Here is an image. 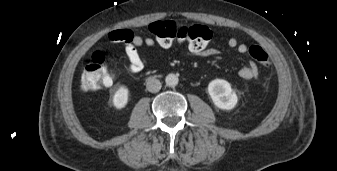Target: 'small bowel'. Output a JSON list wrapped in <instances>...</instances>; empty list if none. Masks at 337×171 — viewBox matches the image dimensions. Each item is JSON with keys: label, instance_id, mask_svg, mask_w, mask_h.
<instances>
[{"label": "small bowel", "instance_id": "1", "mask_svg": "<svg viewBox=\"0 0 337 171\" xmlns=\"http://www.w3.org/2000/svg\"><path fill=\"white\" fill-rule=\"evenodd\" d=\"M110 39L125 43V54L129 60L127 72L130 74L141 72L146 65L147 61L141 51L142 48L144 46L154 48L159 45L158 42L151 37L143 38L128 30L115 31L111 33ZM227 43L230 47L236 48L239 53H245L247 51V46L245 44H239L234 37L229 38ZM189 52L192 55L203 58L214 57L220 54V51L214 48L203 49L201 52H192L189 49ZM258 74V67L253 61H249V63L239 71V76L244 80H255L258 78Z\"/></svg>", "mask_w": 337, "mask_h": 171}]
</instances>
